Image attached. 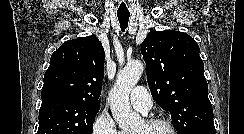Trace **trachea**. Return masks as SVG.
Masks as SVG:
<instances>
[{
	"label": "trachea",
	"instance_id": "1",
	"mask_svg": "<svg viewBox=\"0 0 244 134\" xmlns=\"http://www.w3.org/2000/svg\"><path fill=\"white\" fill-rule=\"evenodd\" d=\"M117 17L120 23V28L122 31H125V29L128 26V21L130 14L129 13H117Z\"/></svg>",
	"mask_w": 244,
	"mask_h": 134
}]
</instances>
